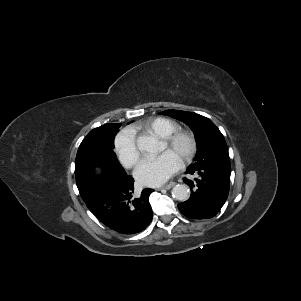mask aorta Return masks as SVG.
<instances>
[{"mask_svg":"<svg viewBox=\"0 0 301 301\" xmlns=\"http://www.w3.org/2000/svg\"><path fill=\"white\" fill-rule=\"evenodd\" d=\"M137 146L141 151H151L154 149L155 140L149 136H140L137 139ZM172 196L178 201H186L189 198V188L185 184H177L173 187Z\"/></svg>","mask_w":301,"mask_h":301,"instance_id":"762f6f07","label":"aorta"}]
</instances>
